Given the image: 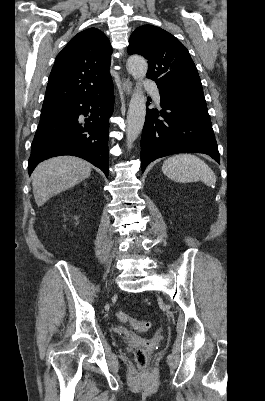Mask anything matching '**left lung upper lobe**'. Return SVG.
<instances>
[{
    "mask_svg": "<svg viewBox=\"0 0 265 401\" xmlns=\"http://www.w3.org/2000/svg\"><path fill=\"white\" fill-rule=\"evenodd\" d=\"M128 53L148 60L147 77L160 90L203 95L200 77L188 50L169 32L153 25L138 27L129 39Z\"/></svg>",
    "mask_w": 265,
    "mask_h": 401,
    "instance_id": "obj_1",
    "label": "left lung upper lobe"
}]
</instances>
